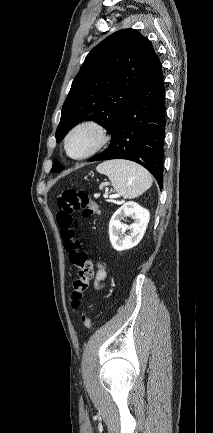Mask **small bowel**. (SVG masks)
Wrapping results in <instances>:
<instances>
[{"label": "small bowel", "mask_w": 213, "mask_h": 433, "mask_svg": "<svg viewBox=\"0 0 213 433\" xmlns=\"http://www.w3.org/2000/svg\"><path fill=\"white\" fill-rule=\"evenodd\" d=\"M97 267L98 270L95 275L94 286L96 289L100 290L103 289L106 285L107 272L105 267L101 263H98Z\"/></svg>", "instance_id": "c3829d8e"}]
</instances>
